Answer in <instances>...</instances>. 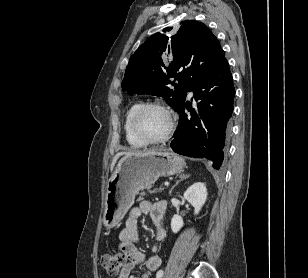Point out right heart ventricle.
Returning <instances> with one entry per match:
<instances>
[{
	"instance_id": "obj_1",
	"label": "right heart ventricle",
	"mask_w": 308,
	"mask_h": 278,
	"mask_svg": "<svg viewBox=\"0 0 308 278\" xmlns=\"http://www.w3.org/2000/svg\"><path fill=\"white\" fill-rule=\"evenodd\" d=\"M141 105H142L141 101H137L131 104L125 112L124 121H123V129H124L126 141L128 142L130 146L134 148H140V147L145 146V143L136 137V135L133 133L132 128H131L132 114Z\"/></svg>"
}]
</instances>
